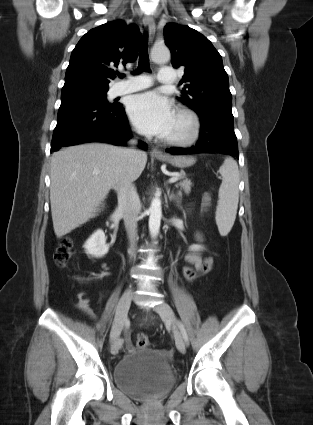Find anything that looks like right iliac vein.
Masks as SVG:
<instances>
[{
  "label": "right iliac vein",
  "instance_id": "1",
  "mask_svg": "<svg viewBox=\"0 0 313 425\" xmlns=\"http://www.w3.org/2000/svg\"><path fill=\"white\" fill-rule=\"evenodd\" d=\"M131 299H132V289L129 288L124 292V294L122 295L117 305L116 315H115L114 323H113L111 334H110V340L113 344V348L115 349L118 347V338L124 327V324L127 318V313L130 307Z\"/></svg>",
  "mask_w": 313,
  "mask_h": 425
}]
</instances>
